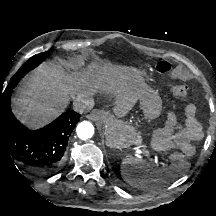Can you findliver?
Masks as SVG:
<instances>
[{
  "mask_svg": "<svg viewBox=\"0 0 216 216\" xmlns=\"http://www.w3.org/2000/svg\"><path fill=\"white\" fill-rule=\"evenodd\" d=\"M91 88L116 94L118 110H130L143 91L135 70L95 66L87 76L72 78L60 64L49 62L38 67L19 89L13 111L28 127L39 128L65 110L70 96H86Z\"/></svg>",
  "mask_w": 216,
  "mask_h": 216,
  "instance_id": "obj_1",
  "label": "liver"
}]
</instances>
